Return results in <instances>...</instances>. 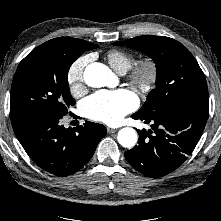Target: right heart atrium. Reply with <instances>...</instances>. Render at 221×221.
<instances>
[{"label":"right heart atrium","instance_id":"right-heart-atrium-1","mask_svg":"<svg viewBox=\"0 0 221 221\" xmlns=\"http://www.w3.org/2000/svg\"><path fill=\"white\" fill-rule=\"evenodd\" d=\"M87 62V57H79L70 65L67 71V83L70 92L74 96L81 95L85 89L84 70Z\"/></svg>","mask_w":221,"mask_h":221}]
</instances>
